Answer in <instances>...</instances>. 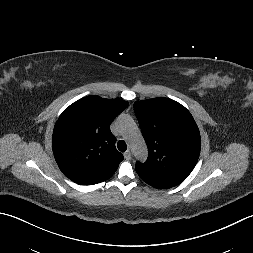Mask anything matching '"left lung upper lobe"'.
I'll return each mask as SVG.
<instances>
[{"label": "left lung upper lobe", "mask_w": 253, "mask_h": 253, "mask_svg": "<svg viewBox=\"0 0 253 253\" xmlns=\"http://www.w3.org/2000/svg\"><path fill=\"white\" fill-rule=\"evenodd\" d=\"M134 111L148 147L146 162L136 163L137 174L151 186L180 184L200 154V132L192 115L168 98L136 101Z\"/></svg>", "instance_id": "1"}]
</instances>
